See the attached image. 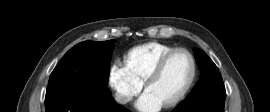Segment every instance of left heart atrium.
Masks as SVG:
<instances>
[{
	"mask_svg": "<svg viewBox=\"0 0 270 112\" xmlns=\"http://www.w3.org/2000/svg\"><path fill=\"white\" fill-rule=\"evenodd\" d=\"M135 106L141 112H158L164 105L154 95L146 91L136 102Z\"/></svg>",
	"mask_w": 270,
	"mask_h": 112,
	"instance_id": "obj_1",
	"label": "left heart atrium"
}]
</instances>
